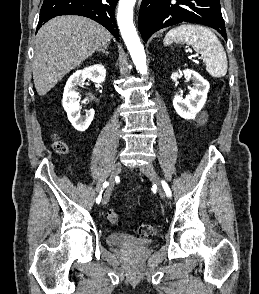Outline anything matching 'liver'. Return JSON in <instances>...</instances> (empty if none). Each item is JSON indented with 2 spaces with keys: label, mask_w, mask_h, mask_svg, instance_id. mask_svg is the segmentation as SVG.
Wrapping results in <instances>:
<instances>
[{
  "label": "liver",
  "mask_w": 259,
  "mask_h": 294,
  "mask_svg": "<svg viewBox=\"0 0 259 294\" xmlns=\"http://www.w3.org/2000/svg\"><path fill=\"white\" fill-rule=\"evenodd\" d=\"M111 38L102 25L82 16H58L48 21L36 35L32 71L38 95L48 93Z\"/></svg>",
  "instance_id": "obj_1"
}]
</instances>
